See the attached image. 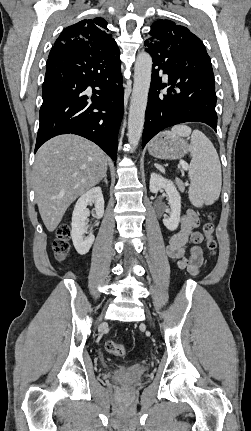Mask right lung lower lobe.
<instances>
[{
	"instance_id": "98d812e1",
	"label": "right lung lower lobe",
	"mask_w": 251,
	"mask_h": 431,
	"mask_svg": "<svg viewBox=\"0 0 251 431\" xmlns=\"http://www.w3.org/2000/svg\"><path fill=\"white\" fill-rule=\"evenodd\" d=\"M120 65V59L105 64L62 49L49 54L35 152L50 138L72 133L93 141L116 160L124 95Z\"/></svg>"
}]
</instances>
